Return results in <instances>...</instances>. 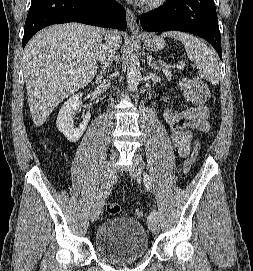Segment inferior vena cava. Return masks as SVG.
<instances>
[{
	"label": "inferior vena cava",
	"instance_id": "1",
	"mask_svg": "<svg viewBox=\"0 0 253 271\" xmlns=\"http://www.w3.org/2000/svg\"><path fill=\"white\" fill-rule=\"evenodd\" d=\"M105 33V32H104ZM106 34V37H105V40H106V44H104L102 46V50H101V53H100V56H99V59L103 65L102 69H106V67H108L109 65V61L110 59L112 58L114 52H113V49H112V46L109 42V37H108V34ZM102 86H109V81L108 80H104L102 81L101 83Z\"/></svg>",
	"mask_w": 253,
	"mask_h": 271
}]
</instances>
